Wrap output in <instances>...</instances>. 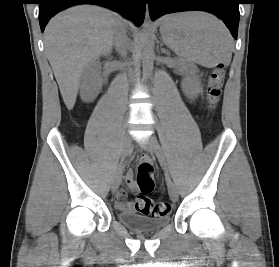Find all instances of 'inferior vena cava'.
<instances>
[{
    "instance_id": "inferior-vena-cava-1",
    "label": "inferior vena cava",
    "mask_w": 279,
    "mask_h": 267,
    "mask_svg": "<svg viewBox=\"0 0 279 267\" xmlns=\"http://www.w3.org/2000/svg\"><path fill=\"white\" fill-rule=\"evenodd\" d=\"M114 45L121 56L125 57L127 54L128 38L124 23L120 24L115 30Z\"/></svg>"
}]
</instances>
